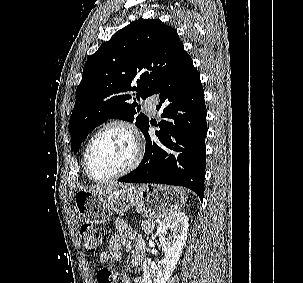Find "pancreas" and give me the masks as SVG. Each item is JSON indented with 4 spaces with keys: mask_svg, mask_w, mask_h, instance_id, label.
<instances>
[{
    "mask_svg": "<svg viewBox=\"0 0 303 283\" xmlns=\"http://www.w3.org/2000/svg\"><path fill=\"white\" fill-rule=\"evenodd\" d=\"M155 221L153 219H146L141 222V227L144 230L145 234L149 235L154 229Z\"/></svg>",
    "mask_w": 303,
    "mask_h": 283,
    "instance_id": "obj_1",
    "label": "pancreas"
}]
</instances>
